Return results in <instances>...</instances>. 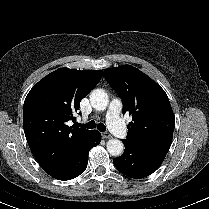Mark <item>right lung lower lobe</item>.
I'll list each match as a JSON object with an SVG mask.
<instances>
[{"instance_id":"1","label":"right lung lower lobe","mask_w":209,"mask_h":209,"mask_svg":"<svg viewBox=\"0 0 209 209\" xmlns=\"http://www.w3.org/2000/svg\"><path fill=\"white\" fill-rule=\"evenodd\" d=\"M101 134L93 130L75 151L74 155L57 171L51 174L58 180H70L79 176L87 167L89 150L98 145Z\"/></svg>"}]
</instances>
